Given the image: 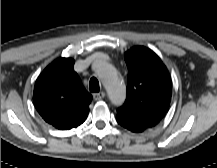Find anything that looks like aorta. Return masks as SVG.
I'll return each mask as SVG.
<instances>
[{
  "label": "aorta",
  "instance_id": "762f6f07",
  "mask_svg": "<svg viewBox=\"0 0 217 168\" xmlns=\"http://www.w3.org/2000/svg\"><path fill=\"white\" fill-rule=\"evenodd\" d=\"M94 66L106 88L110 101L114 105H121L126 97V89L116 69L102 59H97Z\"/></svg>",
  "mask_w": 217,
  "mask_h": 168
}]
</instances>
